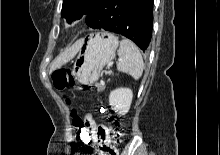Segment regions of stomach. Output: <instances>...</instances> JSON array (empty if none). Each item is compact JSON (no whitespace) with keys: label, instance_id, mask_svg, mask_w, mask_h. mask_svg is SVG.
Returning a JSON list of instances; mask_svg holds the SVG:
<instances>
[{"label":"stomach","instance_id":"1","mask_svg":"<svg viewBox=\"0 0 220 155\" xmlns=\"http://www.w3.org/2000/svg\"><path fill=\"white\" fill-rule=\"evenodd\" d=\"M81 41L73 76L82 85H92L99 79L104 66L114 58L118 38L109 32H101Z\"/></svg>","mask_w":220,"mask_h":155}]
</instances>
